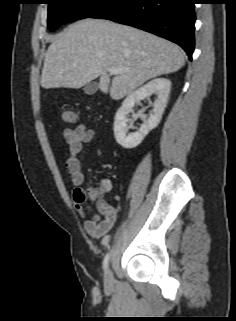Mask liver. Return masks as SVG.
<instances>
[{
	"instance_id": "liver-1",
	"label": "liver",
	"mask_w": 236,
	"mask_h": 321,
	"mask_svg": "<svg viewBox=\"0 0 236 321\" xmlns=\"http://www.w3.org/2000/svg\"><path fill=\"white\" fill-rule=\"evenodd\" d=\"M185 64L174 43L131 26L103 19H83L52 39L41 86L78 89L99 77V88L114 100L130 95L147 80L174 73ZM123 71L111 81L108 68Z\"/></svg>"
}]
</instances>
